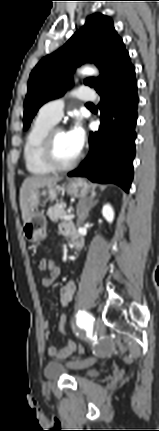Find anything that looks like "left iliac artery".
<instances>
[{
    "mask_svg": "<svg viewBox=\"0 0 159 431\" xmlns=\"http://www.w3.org/2000/svg\"><path fill=\"white\" fill-rule=\"evenodd\" d=\"M77 323L80 326H83L85 328H88L89 326L92 327V324L94 322V318L87 313L86 311H78L77 313Z\"/></svg>",
    "mask_w": 159,
    "mask_h": 431,
    "instance_id": "left-iliac-artery-1",
    "label": "left iliac artery"
}]
</instances>
